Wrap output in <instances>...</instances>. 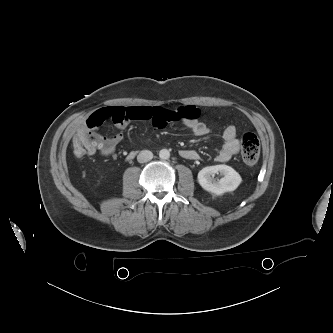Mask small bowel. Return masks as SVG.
Here are the masks:
<instances>
[{
  "mask_svg": "<svg viewBox=\"0 0 333 333\" xmlns=\"http://www.w3.org/2000/svg\"><path fill=\"white\" fill-rule=\"evenodd\" d=\"M108 120L112 121L120 132L112 136L97 133L96 131ZM133 120L151 121L158 129L181 121L197 137L205 136L208 133L207 126L199 120V110L194 106H185L174 110L159 106H113L100 109L90 115L78 129L76 137L83 142L85 154L94 155L99 152L102 156H111L123 139L121 131ZM222 138L223 145L216 160L227 162L240 151L236 127L228 126L223 131ZM181 156L186 159H195L197 153L192 149H183Z\"/></svg>",
  "mask_w": 333,
  "mask_h": 333,
  "instance_id": "c3829d8e",
  "label": "small bowel"
}]
</instances>
